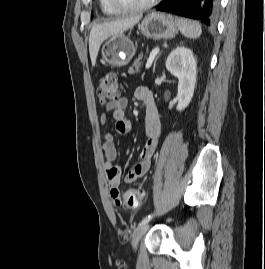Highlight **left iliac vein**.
I'll list each match as a JSON object with an SVG mask.
<instances>
[{
  "label": "left iliac vein",
  "mask_w": 265,
  "mask_h": 269,
  "mask_svg": "<svg viewBox=\"0 0 265 269\" xmlns=\"http://www.w3.org/2000/svg\"><path fill=\"white\" fill-rule=\"evenodd\" d=\"M149 228V224H143L140 225L139 227H137L132 235V247L133 249H136L138 246L139 241L141 240V238L143 237V235L146 233V231Z\"/></svg>",
  "instance_id": "1"
}]
</instances>
